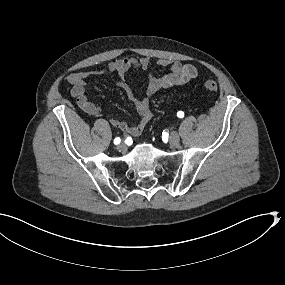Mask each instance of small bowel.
<instances>
[{
    "label": "small bowel",
    "instance_id": "1",
    "mask_svg": "<svg viewBox=\"0 0 285 285\" xmlns=\"http://www.w3.org/2000/svg\"><path fill=\"white\" fill-rule=\"evenodd\" d=\"M156 64L161 67H167L170 71L162 76L151 75L144 97L139 98L135 96L130 85L125 80V74L130 69L149 70L152 66V62L148 57H122L113 60L100 70L73 73L68 77V81L72 85L71 95L83 111L91 115H97L100 112L99 106L89 102L86 98V80L101 75L118 74L120 76L119 86L125 91L128 99L134 104L140 119L137 124L129 125L125 121L111 118L110 124L129 136H139L152 118L150 98L161 89L188 85L198 74L195 66L182 64L171 59H159Z\"/></svg>",
    "mask_w": 285,
    "mask_h": 285
}]
</instances>
